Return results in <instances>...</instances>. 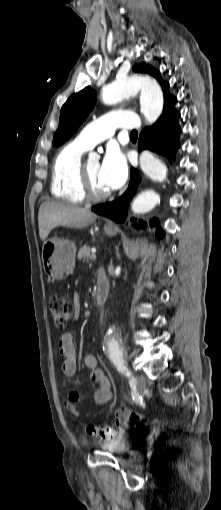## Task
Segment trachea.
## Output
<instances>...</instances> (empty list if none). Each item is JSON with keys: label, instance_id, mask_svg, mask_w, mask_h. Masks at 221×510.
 Returning a JSON list of instances; mask_svg holds the SVG:
<instances>
[{"label": "trachea", "instance_id": "obj_1", "mask_svg": "<svg viewBox=\"0 0 221 510\" xmlns=\"http://www.w3.org/2000/svg\"><path fill=\"white\" fill-rule=\"evenodd\" d=\"M130 136H138L137 131H135V130L131 131Z\"/></svg>", "mask_w": 221, "mask_h": 510}]
</instances>
